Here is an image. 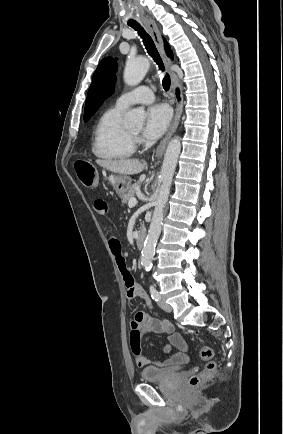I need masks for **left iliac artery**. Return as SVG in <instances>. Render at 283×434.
<instances>
[{
  "mask_svg": "<svg viewBox=\"0 0 283 434\" xmlns=\"http://www.w3.org/2000/svg\"><path fill=\"white\" fill-rule=\"evenodd\" d=\"M150 293H151V297L153 300H155V301L160 300V295H159L158 291L152 285L150 286Z\"/></svg>",
  "mask_w": 283,
  "mask_h": 434,
  "instance_id": "1",
  "label": "left iliac artery"
}]
</instances>
